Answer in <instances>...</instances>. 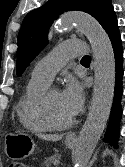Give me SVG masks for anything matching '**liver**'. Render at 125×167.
I'll use <instances>...</instances> for the list:
<instances>
[{"label":"liver","mask_w":125,"mask_h":167,"mask_svg":"<svg viewBox=\"0 0 125 167\" xmlns=\"http://www.w3.org/2000/svg\"><path fill=\"white\" fill-rule=\"evenodd\" d=\"M40 138L44 140H49V141H59L62 139L61 135H39Z\"/></svg>","instance_id":"6515ba94"}]
</instances>
